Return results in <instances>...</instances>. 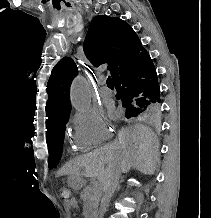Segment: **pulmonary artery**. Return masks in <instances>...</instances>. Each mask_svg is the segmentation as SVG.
Masks as SVG:
<instances>
[{
	"label": "pulmonary artery",
	"instance_id": "pulmonary-artery-1",
	"mask_svg": "<svg viewBox=\"0 0 211 218\" xmlns=\"http://www.w3.org/2000/svg\"><path fill=\"white\" fill-rule=\"evenodd\" d=\"M100 95L103 98H109L113 95V91L106 85V79L101 78L100 79Z\"/></svg>",
	"mask_w": 211,
	"mask_h": 218
}]
</instances>
